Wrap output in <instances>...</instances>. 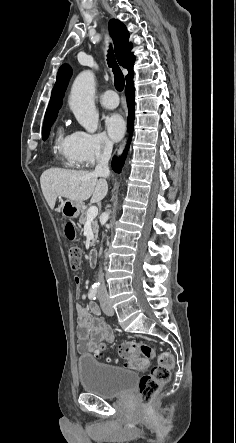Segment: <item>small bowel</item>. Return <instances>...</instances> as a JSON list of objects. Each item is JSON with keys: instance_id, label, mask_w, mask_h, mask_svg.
I'll return each mask as SVG.
<instances>
[{"instance_id": "small-bowel-1", "label": "small bowel", "mask_w": 236, "mask_h": 443, "mask_svg": "<svg viewBox=\"0 0 236 443\" xmlns=\"http://www.w3.org/2000/svg\"><path fill=\"white\" fill-rule=\"evenodd\" d=\"M80 278L75 277V283L80 285ZM76 295H80L77 288ZM77 315V350L80 353L91 351L92 348L101 341L113 342L114 335L108 325L100 318V311L95 303H90L88 307L78 304L76 306Z\"/></svg>"}]
</instances>
